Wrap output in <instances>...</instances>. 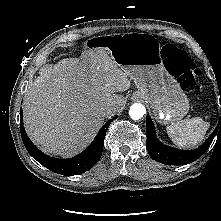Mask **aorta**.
Masks as SVG:
<instances>
[{
	"label": "aorta",
	"instance_id": "obj_1",
	"mask_svg": "<svg viewBox=\"0 0 221 221\" xmlns=\"http://www.w3.org/2000/svg\"><path fill=\"white\" fill-rule=\"evenodd\" d=\"M145 114H146V108L142 104L135 103L131 105L129 110V115L133 120H139Z\"/></svg>",
	"mask_w": 221,
	"mask_h": 221
}]
</instances>
